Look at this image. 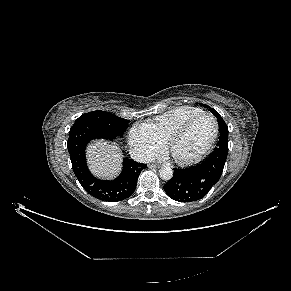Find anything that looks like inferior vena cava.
Masks as SVG:
<instances>
[{
  "instance_id": "obj_1",
  "label": "inferior vena cava",
  "mask_w": 291,
  "mask_h": 291,
  "mask_svg": "<svg viewBox=\"0 0 291 291\" xmlns=\"http://www.w3.org/2000/svg\"><path fill=\"white\" fill-rule=\"evenodd\" d=\"M132 159L140 163H149L154 158L147 149L134 148L130 152Z\"/></svg>"
}]
</instances>
